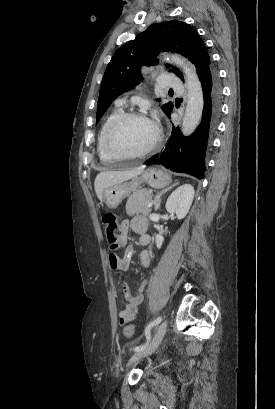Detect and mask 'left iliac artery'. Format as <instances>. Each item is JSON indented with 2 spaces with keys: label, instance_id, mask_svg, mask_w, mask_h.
I'll return each mask as SVG.
<instances>
[{
  "label": "left iliac artery",
  "instance_id": "1",
  "mask_svg": "<svg viewBox=\"0 0 275 409\" xmlns=\"http://www.w3.org/2000/svg\"><path fill=\"white\" fill-rule=\"evenodd\" d=\"M161 321H162V316H158L156 319H154L152 322H150L147 325V327L145 328L146 343L135 347L134 348L135 352L143 350L149 345L150 339H151V329H152V327L158 325Z\"/></svg>",
  "mask_w": 275,
  "mask_h": 409
}]
</instances>
